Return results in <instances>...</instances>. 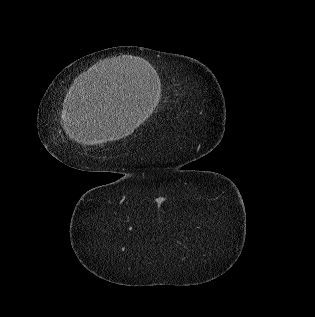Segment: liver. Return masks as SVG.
<instances>
[{
    "label": "liver",
    "instance_id": "6515ba94",
    "mask_svg": "<svg viewBox=\"0 0 315 317\" xmlns=\"http://www.w3.org/2000/svg\"><path fill=\"white\" fill-rule=\"evenodd\" d=\"M136 64V60L122 61V66ZM116 88V83H113ZM73 98L63 119L64 130L72 140L83 145H94L119 140L130 135L138 126L137 118L130 114L128 103L111 89L99 87L86 91L81 88Z\"/></svg>",
    "mask_w": 315,
    "mask_h": 317
}]
</instances>
